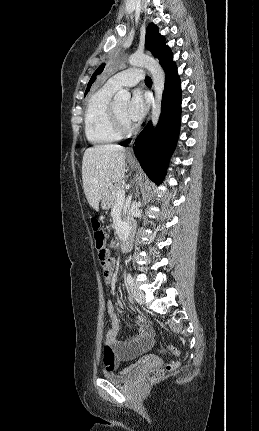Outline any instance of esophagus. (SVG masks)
Returning a JSON list of instances; mask_svg holds the SVG:
<instances>
[{"label":"esophagus","instance_id":"1","mask_svg":"<svg viewBox=\"0 0 259 431\" xmlns=\"http://www.w3.org/2000/svg\"><path fill=\"white\" fill-rule=\"evenodd\" d=\"M133 143H134V140H132L129 146L127 147V154L130 158H134V154L132 150Z\"/></svg>","mask_w":259,"mask_h":431}]
</instances>
